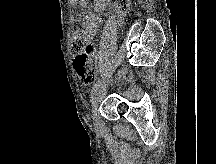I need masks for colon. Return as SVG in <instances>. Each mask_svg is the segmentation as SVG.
I'll return each instance as SVG.
<instances>
[{"instance_id": "colon-1", "label": "colon", "mask_w": 216, "mask_h": 164, "mask_svg": "<svg viewBox=\"0 0 216 164\" xmlns=\"http://www.w3.org/2000/svg\"><path fill=\"white\" fill-rule=\"evenodd\" d=\"M114 6L120 15L129 10V0H115ZM99 18L84 20V29L81 34L72 38L71 51L75 55L74 65L80 79L87 85L93 83L97 76V64L93 43H88L89 35L97 28Z\"/></svg>"}]
</instances>
